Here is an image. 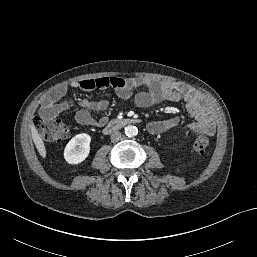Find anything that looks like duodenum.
I'll return each instance as SVG.
<instances>
[{
	"instance_id": "duodenum-1",
	"label": "duodenum",
	"mask_w": 257,
	"mask_h": 257,
	"mask_svg": "<svg viewBox=\"0 0 257 257\" xmlns=\"http://www.w3.org/2000/svg\"><path fill=\"white\" fill-rule=\"evenodd\" d=\"M139 122V119L133 117L113 119L104 124V132L112 133L127 125L138 124Z\"/></svg>"
}]
</instances>
